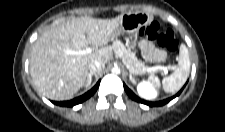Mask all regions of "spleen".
<instances>
[{
    "mask_svg": "<svg viewBox=\"0 0 225 132\" xmlns=\"http://www.w3.org/2000/svg\"><path fill=\"white\" fill-rule=\"evenodd\" d=\"M190 72V59L187 47L182 44L180 46L179 62L175 71L162 81L165 92L174 93L178 91L186 82ZM157 86L159 82L156 78H150Z\"/></svg>",
    "mask_w": 225,
    "mask_h": 132,
    "instance_id": "obj_1",
    "label": "spleen"
}]
</instances>
